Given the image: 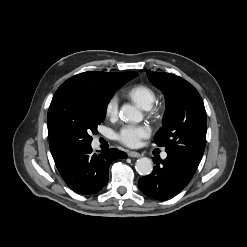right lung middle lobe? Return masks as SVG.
I'll list each match as a JSON object with an SVG mask.
<instances>
[{"instance_id":"obj_1","label":"right lung middle lobe","mask_w":247,"mask_h":247,"mask_svg":"<svg viewBox=\"0 0 247 247\" xmlns=\"http://www.w3.org/2000/svg\"><path fill=\"white\" fill-rule=\"evenodd\" d=\"M112 96L86 90L56 91L48 110V127L73 150L90 146V135L96 134L97 126L104 121Z\"/></svg>"}]
</instances>
